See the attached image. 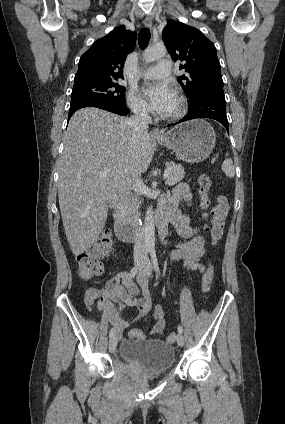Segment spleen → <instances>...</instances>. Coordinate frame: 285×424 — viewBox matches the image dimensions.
Listing matches in <instances>:
<instances>
[{
	"label": "spleen",
	"mask_w": 285,
	"mask_h": 424,
	"mask_svg": "<svg viewBox=\"0 0 285 424\" xmlns=\"http://www.w3.org/2000/svg\"><path fill=\"white\" fill-rule=\"evenodd\" d=\"M222 170L224 171L225 175L229 178H233L235 175V168L233 165L232 159L228 158V154H226V159L222 163Z\"/></svg>",
	"instance_id": "1"
}]
</instances>
